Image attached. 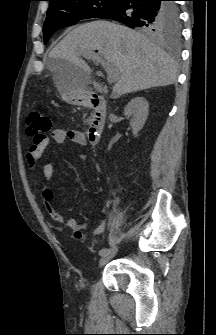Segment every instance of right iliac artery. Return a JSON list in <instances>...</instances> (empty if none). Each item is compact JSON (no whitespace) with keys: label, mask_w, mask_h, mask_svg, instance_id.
<instances>
[{"label":"right iliac artery","mask_w":216,"mask_h":335,"mask_svg":"<svg viewBox=\"0 0 216 335\" xmlns=\"http://www.w3.org/2000/svg\"><path fill=\"white\" fill-rule=\"evenodd\" d=\"M108 248H102L100 251H99V255L100 256H103V255H105L107 252H108Z\"/></svg>","instance_id":"82829eb1"}]
</instances>
